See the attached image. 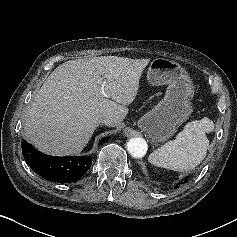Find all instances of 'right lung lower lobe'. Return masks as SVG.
Here are the masks:
<instances>
[{"label": "right lung lower lobe", "mask_w": 237, "mask_h": 237, "mask_svg": "<svg viewBox=\"0 0 237 237\" xmlns=\"http://www.w3.org/2000/svg\"><path fill=\"white\" fill-rule=\"evenodd\" d=\"M103 139L102 142H105ZM22 154L26 163L41 177L51 182L68 183L81 178L91 167L92 157H54L36 150L22 141Z\"/></svg>", "instance_id": "obj_1"}]
</instances>
